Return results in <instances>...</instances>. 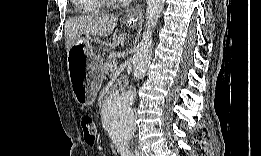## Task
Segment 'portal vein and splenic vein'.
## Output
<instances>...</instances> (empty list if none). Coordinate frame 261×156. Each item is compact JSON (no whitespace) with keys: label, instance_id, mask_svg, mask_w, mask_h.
<instances>
[{"label":"portal vein and splenic vein","instance_id":"obj_1","mask_svg":"<svg viewBox=\"0 0 261 156\" xmlns=\"http://www.w3.org/2000/svg\"><path fill=\"white\" fill-rule=\"evenodd\" d=\"M117 70V64H114L110 67L111 72H115Z\"/></svg>","mask_w":261,"mask_h":156}]
</instances>
